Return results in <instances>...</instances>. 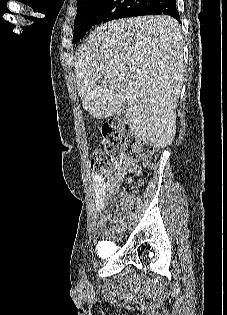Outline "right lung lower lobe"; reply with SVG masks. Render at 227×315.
Wrapping results in <instances>:
<instances>
[{"mask_svg":"<svg viewBox=\"0 0 227 315\" xmlns=\"http://www.w3.org/2000/svg\"><path fill=\"white\" fill-rule=\"evenodd\" d=\"M132 11L133 13L128 17L164 14L172 16L180 22L176 0H151L142 9Z\"/></svg>","mask_w":227,"mask_h":315,"instance_id":"obj_1","label":"right lung lower lobe"}]
</instances>
